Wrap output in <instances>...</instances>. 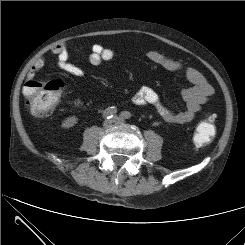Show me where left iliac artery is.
I'll return each instance as SVG.
<instances>
[{
	"label": "left iliac artery",
	"instance_id": "1",
	"mask_svg": "<svg viewBox=\"0 0 245 245\" xmlns=\"http://www.w3.org/2000/svg\"><path fill=\"white\" fill-rule=\"evenodd\" d=\"M120 116H121L122 118H124V119H130L132 115H131V113L128 112V111H123V112H121Z\"/></svg>",
	"mask_w": 245,
	"mask_h": 245
}]
</instances>
